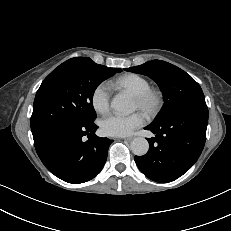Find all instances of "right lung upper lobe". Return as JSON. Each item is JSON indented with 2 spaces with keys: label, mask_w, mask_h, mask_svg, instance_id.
<instances>
[{
  "label": "right lung upper lobe",
  "mask_w": 231,
  "mask_h": 231,
  "mask_svg": "<svg viewBox=\"0 0 231 231\" xmlns=\"http://www.w3.org/2000/svg\"><path fill=\"white\" fill-rule=\"evenodd\" d=\"M77 58H85V57H77Z\"/></svg>",
  "instance_id": "1"
}]
</instances>
